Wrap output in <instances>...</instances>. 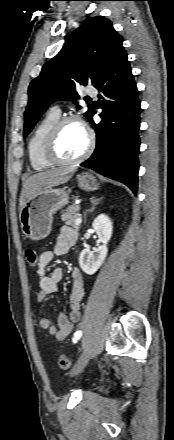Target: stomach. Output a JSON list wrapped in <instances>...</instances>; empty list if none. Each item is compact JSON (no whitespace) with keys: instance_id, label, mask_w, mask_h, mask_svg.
Listing matches in <instances>:
<instances>
[{"instance_id":"stomach-1","label":"stomach","mask_w":174,"mask_h":440,"mask_svg":"<svg viewBox=\"0 0 174 440\" xmlns=\"http://www.w3.org/2000/svg\"><path fill=\"white\" fill-rule=\"evenodd\" d=\"M78 186L86 191L99 188L97 179L90 173L77 176ZM69 195L66 187H49L28 199L22 208L19 218L23 233L32 240L46 238L52 228L53 215L68 204Z\"/></svg>"}]
</instances>
